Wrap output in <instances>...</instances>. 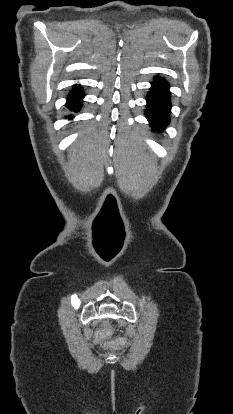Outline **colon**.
Wrapping results in <instances>:
<instances>
[{
    "label": "colon",
    "mask_w": 233,
    "mask_h": 414,
    "mask_svg": "<svg viewBox=\"0 0 233 414\" xmlns=\"http://www.w3.org/2000/svg\"><path fill=\"white\" fill-rule=\"evenodd\" d=\"M109 333V327L108 326H105L103 329H102V331H101V333H100V338L101 337H103V336H106L107 334Z\"/></svg>",
    "instance_id": "obj_1"
}]
</instances>
